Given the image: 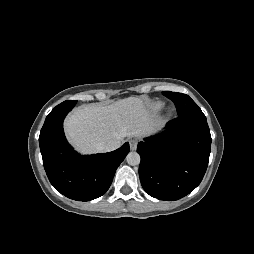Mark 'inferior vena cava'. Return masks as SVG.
<instances>
[{
  "label": "inferior vena cava",
  "mask_w": 254,
  "mask_h": 254,
  "mask_svg": "<svg viewBox=\"0 0 254 254\" xmlns=\"http://www.w3.org/2000/svg\"><path fill=\"white\" fill-rule=\"evenodd\" d=\"M121 146V141L120 140H110L105 144H101L98 149L101 152H110L113 150L118 149Z\"/></svg>",
  "instance_id": "obj_1"
}]
</instances>
